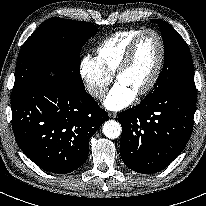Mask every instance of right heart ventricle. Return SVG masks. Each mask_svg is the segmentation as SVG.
I'll return each mask as SVG.
<instances>
[{"mask_svg":"<svg viewBox=\"0 0 206 206\" xmlns=\"http://www.w3.org/2000/svg\"><path fill=\"white\" fill-rule=\"evenodd\" d=\"M142 30L132 28L117 31L98 46L96 58L109 75H114L128 46Z\"/></svg>","mask_w":206,"mask_h":206,"instance_id":"obj_1","label":"right heart ventricle"}]
</instances>
